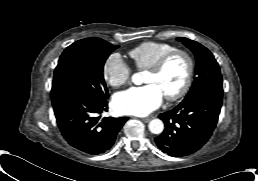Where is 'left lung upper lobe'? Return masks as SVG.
Wrapping results in <instances>:
<instances>
[{"label":"left lung upper lobe","mask_w":258,"mask_h":181,"mask_svg":"<svg viewBox=\"0 0 258 181\" xmlns=\"http://www.w3.org/2000/svg\"><path fill=\"white\" fill-rule=\"evenodd\" d=\"M188 47L196 57V74L193 85L182 102H187L207 92H223L222 76L217 61L212 53L200 43L177 38Z\"/></svg>","instance_id":"left-lung-upper-lobe-1"}]
</instances>
